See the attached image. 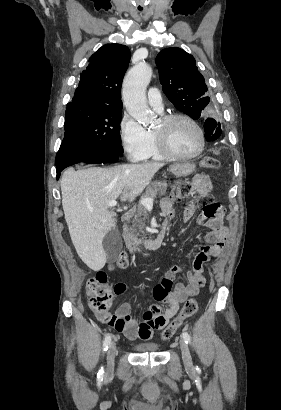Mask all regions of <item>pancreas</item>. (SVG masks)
I'll use <instances>...</instances> for the list:
<instances>
[{
  "mask_svg": "<svg viewBox=\"0 0 281 410\" xmlns=\"http://www.w3.org/2000/svg\"><path fill=\"white\" fill-rule=\"evenodd\" d=\"M168 183L166 181H154L147 187L146 192L142 198H154L156 196H163L166 193ZM148 212L145 206L138 204L133 212L129 215L130 225L124 227V240L127 245L132 244L138 240L140 234H144L145 222Z\"/></svg>",
  "mask_w": 281,
  "mask_h": 410,
  "instance_id": "obj_1",
  "label": "pancreas"
}]
</instances>
